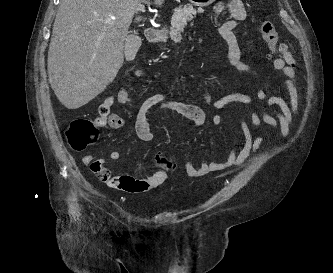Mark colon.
Here are the masks:
<instances>
[{
	"label": "colon",
	"mask_w": 333,
	"mask_h": 273,
	"mask_svg": "<svg viewBox=\"0 0 333 273\" xmlns=\"http://www.w3.org/2000/svg\"><path fill=\"white\" fill-rule=\"evenodd\" d=\"M259 31L265 43L268 46L271 56H278L279 41L273 22L265 19L261 22ZM218 99L221 97H217ZM99 125L96 120L79 118L73 120L66 130V138L69 145L77 151L86 149L95 144L99 139ZM156 164L160 169L169 171L172 169V162L162 156L156 157ZM90 169L102 181L110 183L113 180L110 170L105 166L102 160H95L90 164Z\"/></svg>",
	"instance_id": "obj_1"
}]
</instances>
